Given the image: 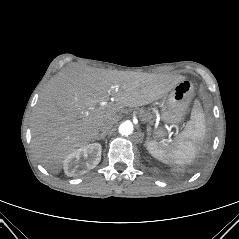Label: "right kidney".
Listing matches in <instances>:
<instances>
[{
	"instance_id": "1",
	"label": "right kidney",
	"mask_w": 239,
	"mask_h": 239,
	"mask_svg": "<svg viewBox=\"0 0 239 239\" xmlns=\"http://www.w3.org/2000/svg\"><path fill=\"white\" fill-rule=\"evenodd\" d=\"M102 146L99 143L85 145L66 156L63 161L67 176H79L95 168L101 160Z\"/></svg>"
}]
</instances>
